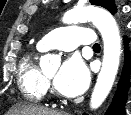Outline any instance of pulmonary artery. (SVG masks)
<instances>
[{"label":"pulmonary artery","instance_id":"obj_1","mask_svg":"<svg viewBox=\"0 0 131 115\" xmlns=\"http://www.w3.org/2000/svg\"><path fill=\"white\" fill-rule=\"evenodd\" d=\"M95 38L91 29L81 26L57 28L47 33L38 43L42 51L60 49L70 51L80 45L93 46Z\"/></svg>","mask_w":131,"mask_h":115}]
</instances>
